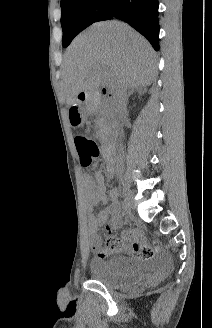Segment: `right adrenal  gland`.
Instances as JSON below:
<instances>
[{
  "label": "right adrenal gland",
  "mask_w": 212,
  "mask_h": 328,
  "mask_svg": "<svg viewBox=\"0 0 212 328\" xmlns=\"http://www.w3.org/2000/svg\"><path fill=\"white\" fill-rule=\"evenodd\" d=\"M135 92H137V93H139V94H142V93L145 92V90H143L142 87H135V88H132V89L129 91L128 95H127V101H126V103H128V99H129V97H130L133 93H135Z\"/></svg>",
  "instance_id": "obj_1"
}]
</instances>
